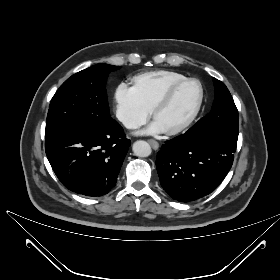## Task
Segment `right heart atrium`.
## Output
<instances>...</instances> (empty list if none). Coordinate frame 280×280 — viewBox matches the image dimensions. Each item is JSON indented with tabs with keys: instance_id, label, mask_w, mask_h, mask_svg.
<instances>
[{
	"instance_id": "d8ad5b80",
	"label": "right heart atrium",
	"mask_w": 280,
	"mask_h": 280,
	"mask_svg": "<svg viewBox=\"0 0 280 280\" xmlns=\"http://www.w3.org/2000/svg\"><path fill=\"white\" fill-rule=\"evenodd\" d=\"M114 98L117 118L126 128L135 129L146 123L150 109L143 103L133 86L126 82L119 83Z\"/></svg>"
}]
</instances>
